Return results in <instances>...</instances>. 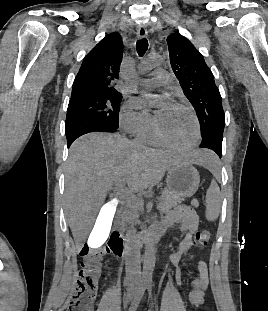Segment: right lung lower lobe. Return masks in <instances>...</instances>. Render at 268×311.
Instances as JSON below:
<instances>
[{"label":"right lung lower lobe","mask_w":268,"mask_h":311,"mask_svg":"<svg viewBox=\"0 0 268 311\" xmlns=\"http://www.w3.org/2000/svg\"><path fill=\"white\" fill-rule=\"evenodd\" d=\"M117 128H109L94 121H79L71 125L69 128H65V134L67 138L68 148L72 142L78 137L90 133V132H115Z\"/></svg>","instance_id":"98d812e1"}]
</instances>
